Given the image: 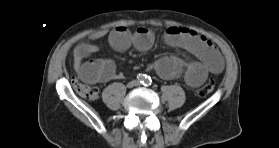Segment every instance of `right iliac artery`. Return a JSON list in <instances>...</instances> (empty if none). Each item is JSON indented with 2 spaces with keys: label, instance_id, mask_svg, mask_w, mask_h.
<instances>
[{
  "label": "right iliac artery",
  "instance_id": "82829eb1",
  "mask_svg": "<svg viewBox=\"0 0 279 148\" xmlns=\"http://www.w3.org/2000/svg\"><path fill=\"white\" fill-rule=\"evenodd\" d=\"M146 78H147V76L144 75V74H142V73H140V74L137 75V79H138L141 83H143V84L145 83Z\"/></svg>",
  "mask_w": 279,
  "mask_h": 148
}]
</instances>
